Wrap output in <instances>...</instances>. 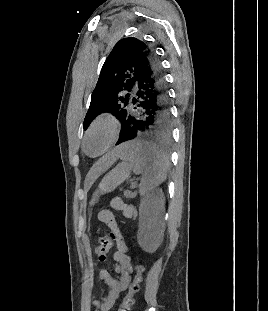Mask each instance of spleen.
<instances>
[{"mask_svg": "<svg viewBox=\"0 0 268 311\" xmlns=\"http://www.w3.org/2000/svg\"><path fill=\"white\" fill-rule=\"evenodd\" d=\"M122 151L121 159L129 162L133 172L141 174L139 193L146 200L148 193L167 178V157L148 140H122L117 146Z\"/></svg>", "mask_w": 268, "mask_h": 311, "instance_id": "3e777b00", "label": "spleen"}]
</instances>
